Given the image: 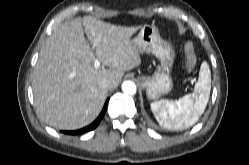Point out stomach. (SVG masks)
<instances>
[{"mask_svg":"<svg viewBox=\"0 0 249 165\" xmlns=\"http://www.w3.org/2000/svg\"><path fill=\"white\" fill-rule=\"evenodd\" d=\"M132 43L139 52L152 53L161 63L153 76L139 77L142 87L146 89L147 98L155 100L162 95L168 94L173 88L170 75L176 56L173 46L162 39L159 30L155 26L148 24L141 27Z\"/></svg>","mask_w":249,"mask_h":165,"instance_id":"0dacf381","label":"stomach"}]
</instances>
